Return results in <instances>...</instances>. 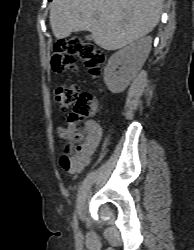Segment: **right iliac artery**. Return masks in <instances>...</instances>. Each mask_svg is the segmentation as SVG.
<instances>
[{"label": "right iliac artery", "instance_id": "82829eb1", "mask_svg": "<svg viewBox=\"0 0 194 250\" xmlns=\"http://www.w3.org/2000/svg\"><path fill=\"white\" fill-rule=\"evenodd\" d=\"M73 228H74V230H76L78 228L76 211H75L74 216H73Z\"/></svg>", "mask_w": 194, "mask_h": 250}]
</instances>
